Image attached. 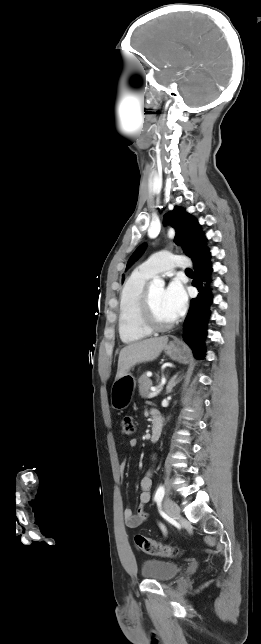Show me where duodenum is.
Wrapping results in <instances>:
<instances>
[{
	"label": "duodenum",
	"mask_w": 261,
	"mask_h": 644,
	"mask_svg": "<svg viewBox=\"0 0 261 644\" xmlns=\"http://www.w3.org/2000/svg\"><path fill=\"white\" fill-rule=\"evenodd\" d=\"M163 422L159 413H154L152 415V430L150 435V441L155 443L157 442L162 434Z\"/></svg>",
	"instance_id": "obj_1"
}]
</instances>
